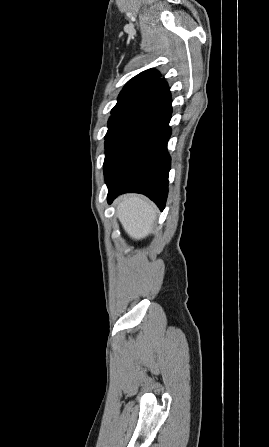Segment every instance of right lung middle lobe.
<instances>
[{"label": "right lung middle lobe", "instance_id": "right-lung-middle-lobe-1", "mask_svg": "<svg viewBox=\"0 0 269 447\" xmlns=\"http://www.w3.org/2000/svg\"><path fill=\"white\" fill-rule=\"evenodd\" d=\"M129 113L126 112H118V113H112V116L109 118L108 121V131L105 136L106 140L109 138L115 127L118 125V123L128 115ZM106 142V141H105Z\"/></svg>", "mask_w": 269, "mask_h": 447}]
</instances>
